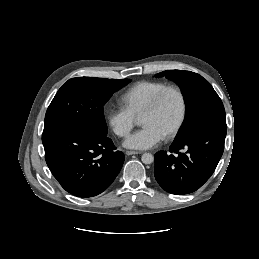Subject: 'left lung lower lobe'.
Wrapping results in <instances>:
<instances>
[{"instance_id":"obj_1","label":"left lung lower lobe","mask_w":259,"mask_h":259,"mask_svg":"<svg viewBox=\"0 0 259 259\" xmlns=\"http://www.w3.org/2000/svg\"><path fill=\"white\" fill-rule=\"evenodd\" d=\"M226 132L224 127H202L174 140L170 152H157L154 175L159 185L177 195L200 188L213 174L223 154Z\"/></svg>"}]
</instances>
